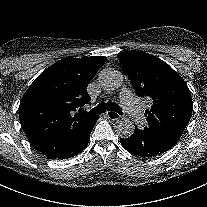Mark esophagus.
<instances>
[{
    "mask_svg": "<svg viewBox=\"0 0 207 207\" xmlns=\"http://www.w3.org/2000/svg\"><path fill=\"white\" fill-rule=\"evenodd\" d=\"M106 116L110 120H117V119L120 118V115L117 112H115V111H107L106 112Z\"/></svg>",
    "mask_w": 207,
    "mask_h": 207,
    "instance_id": "esophagus-1",
    "label": "esophagus"
}]
</instances>
